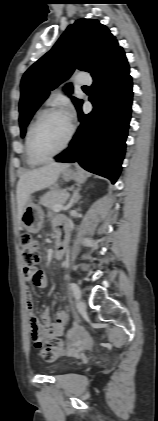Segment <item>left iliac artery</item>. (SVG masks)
I'll return each mask as SVG.
<instances>
[{"label": "left iliac artery", "instance_id": "left-iliac-artery-1", "mask_svg": "<svg viewBox=\"0 0 158 421\" xmlns=\"http://www.w3.org/2000/svg\"><path fill=\"white\" fill-rule=\"evenodd\" d=\"M70 289L76 299L81 297V291L76 283H70Z\"/></svg>", "mask_w": 158, "mask_h": 421}]
</instances>
